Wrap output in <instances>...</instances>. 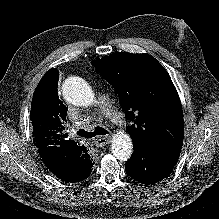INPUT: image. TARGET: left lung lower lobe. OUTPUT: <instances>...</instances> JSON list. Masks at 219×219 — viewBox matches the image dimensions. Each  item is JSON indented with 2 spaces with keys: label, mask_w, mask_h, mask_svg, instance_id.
<instances>
[{
  "label": "left lung lower lobe",
  "mask_w": 219,
  "mask_h": 219,
  "mask_svg": "<svg viewBox=\"0 0 219 219\" xmlns=\"http://www.w3.org/2000/svg\"><path fill=\"white\" fill-rule=\"evenodd\" d=\"M133 144L134 153L125 163V170L134 180L145 185L164 179L172 171L181 152L161 151L142 142Z\"/></svg>",
  "instance_id": "obj_1"
}]
</instances>
